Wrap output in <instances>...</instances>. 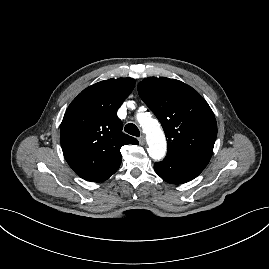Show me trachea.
Instances as JSON below:
<instances>
[{
  "instance_id": "1",
  "label": "trachea",
  "mask_w": 269,
  "mask_h": 269,
  "mask_svg": "<svg viewBox=\"0 0 269 269\" xmlns=\"http://www.w3.org/2000/svg\"><path fill=\"white\" fill-rule=\"evenodd\" d=\"M124 131L127 132L130 135L139 137L140 136V131L138 129V127L133 124V123H129L125 126Z\"/></svg>"
}]
</instances>
